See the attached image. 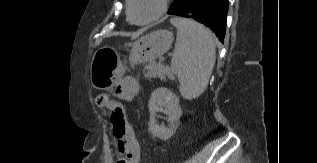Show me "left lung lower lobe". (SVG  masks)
<instances>
[{"label": "left lung lower lobe", "instance_id": "1", "mask_svg": "<svg viewBox=\"0 0 317 163\" xmlns=\"http://www.w3.org/2000/svg\"><path fill=\"white\" fill-rule=\"evenodd\" d=\"M227 12L228 0H180L178 6L168 13L200 22L211 28L223 43Z\"/></svg>", "mask_w": 317, "mask_h": 163}]
</instances>
